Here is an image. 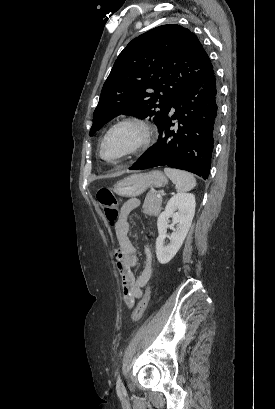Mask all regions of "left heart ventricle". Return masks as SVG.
Instances as JSON below:
<instances>
[{
	"instance_id": "b2bd125f",
	"label": "left heart ventricle",
	"mask_w": 275,
	"mask_h": 409,
	"mask_svg": "<svg viewBox=\"0 0 275 409\" xmlns=\"http://www.w3.org/2000/svg\"><path fill=\"white\" fill-rule=\"evenodd\" d=\"M136 139V133L131 128H122L113 133L104 145V155L115 157L121 154Z\"/></svg>"
}]
</instances>
